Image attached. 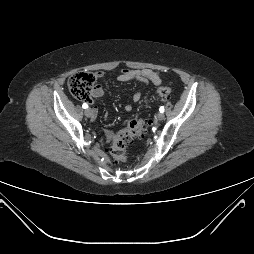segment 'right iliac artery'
<instances>
[{
	"label": "right iliac artery",
	"mask_w": 254,
	"mask_h": 254,
	"mask_svg": "<svg viewBox=\"0 0 254 254\" xmlns=\"http://www.w3.org/2000/svg\"><path fill=\"white\" fill-rule=\"evenodd\" d=\"M82 107H83L84 109H86V108H88V105H87L86 103H83Z\"/></svg>",
	"instance_id": "right-iliac-artery-1"
}]
</instances>
